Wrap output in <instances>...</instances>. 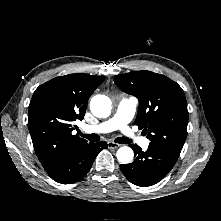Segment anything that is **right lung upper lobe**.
I'll return each instance as SVG.
<instances>
[{
	"label": "right lung upper lobe",
	"mask_w": 221,
	"mask_h": 221,
	"mask_svg": "<svg viewBox=\"0 0 221 221\" xmlns=\"http://www.w3.org/2000/svg\"><path fill=\"white\" fill-rule=\"evenodd\" d=\"M104 76L76 73L56 77L39 86L28 112L35 153L45 170L77 153L87 143L72 135L82 120L87 102Z\"/></svg>",
	"instance_id": "obj_1"
}]
</instances>
